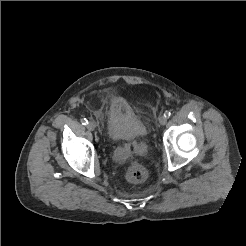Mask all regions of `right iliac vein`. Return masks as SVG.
I'll return each mask as SVG.
<instances>
[{"instance_id":"63e3f726","label":"right iliac vein","mask_w":246,"mask_h":246,"mask_svg":"<svg viewBox=\"0 0 246 246\" xmlns=\"http://www.w3.org/2000/svg\"><path fill=\"white\" fill-rule=\"evenodd\" d=\"M87 128L90 130V131H93L95 128H96V124L94 122H89L87 124Z\"/></svg>"}]
</instances>
